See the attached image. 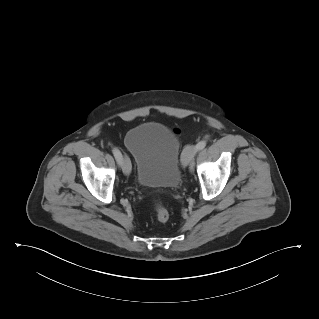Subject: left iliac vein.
<instances>
[{
  "label": "left iliac vein",
  "mask_w": 319,
  "mask_h": 319,
  "mask_svg": "<svg viewBox=\"0 0 319 319\" xmlns=\"http://www.w3.org/2000/svg\"><path fill=\"white\" fill-rule=\"evenodd\" d=\"M196 152H197L196 146H194V145L186 146V148L184 149V151L182 153V157H181L182 165L184 167L189 165V163L192 161Z\"/></svg>",
  "instance_id": "4c4485c4"
}]
</instances>
